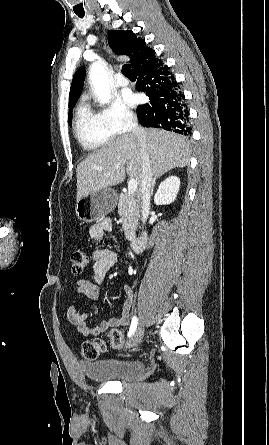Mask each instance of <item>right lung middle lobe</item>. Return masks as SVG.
Wrapping results in <instances>:
<instances>
[{
    "mask_svg": "<svg viewBox=\"0 0 269 445\" xmlns=\"http://www.w3.org/2000/svg\"><path fill=\"white\" fill-rule=\"evenodd\" d=\"M73 106H74V104H72V105H70L69 106V110H70V112H69V116H68V121L70 122V119H71V115H72V109H73Z\"/></svg>",
    "mask_w": 269,
    "mask_h": 445,
    "instance_id": "1",
    "label": "right lung middle lobe"
}]
</instances>
